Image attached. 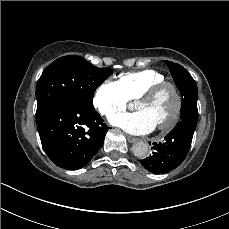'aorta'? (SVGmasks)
<instances>
[{
	"instance_id": "1",
	"label": "aorta",
	"mask_w": 229,
	"mask_h": 229,
	"mask_svg": "<svg viewBox=\"0 0 229 229\" xmlns=\"http://www.w3.org/2000/svg\"><path fill=\"white\" fill-rule=\"evenodd\" d=\"M132 152L138 158H145L149 154V145L146 142L138 141L133 145Z\"/></svg>"
}]
</instances>
